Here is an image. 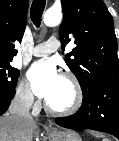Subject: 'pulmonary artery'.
<instances>
[{
    "mask_svg": "<svg viewBox=\"0 0 119 141\" xmlns=\"http://www.w3.org/2000/svg\"><path fill=\"white\" fill-rule=\"evenodd\" d=\"M60 47L59 41L55 37H50L47 41L36 45L31 53L34 56H47Z\"/></svg>",
    "mask_w": 119,
    "mask_h": 141,
    "instance_id": "pulmonary-artery-1",
    "label": "pulmonary artery"
}]
</instances>
